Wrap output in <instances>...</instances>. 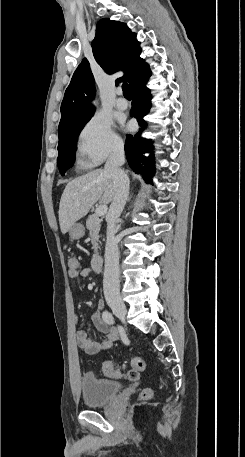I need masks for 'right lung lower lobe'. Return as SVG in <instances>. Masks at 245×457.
<instances>
[{
  "label": "right lung lower lobe",
  "mask_w": 245,
  "mask_h": 457,
  "mask_svg": "<svg viewBox=\"0 0 245 457\" xmlns=\"http://www.w3.org/2000/svg\"><path fill=\"white\" fill-rule=\"evenodd\" d=\"M151 73L133 83L131 86L132 93V109L131 117L137 119L140 126L139 131L135 135H127L125 142V153L130 167L137 174H142L146 182L151 183V178L154 174V158L153 155L148 157L143 156V153H152V142L143 138L142 132L147 127L146 121L143 119L151 107L150 90L145 86Z\"/></svg>",
  "instance_id": "1"
}]
</instances>
